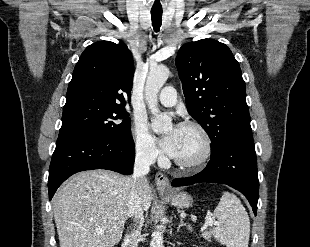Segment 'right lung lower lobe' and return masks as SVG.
<instances>
[{
    "label": "right lung lower lobe",
    "mask_w": 310,
    "mask_h": 247,
    "mask_svg": "<svg viewBox=\"0 0 310 247\" xmlns=\"http://www.w3.org/2000/svg\"><path fill=\"white\" fill-rule=\"evenodd\" d=\"M134 164V142L113 141L89 132L60 133L49 168V200L71 175L92 169H107L131 174Z\"/></svg>",
    "instance_id": "1"
}]
</instances>
